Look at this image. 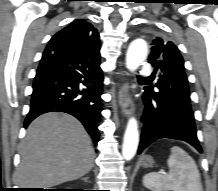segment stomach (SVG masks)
Here are the masks:
<instances>
[{
	"instance_id": "0dacf381",
	"label": "stomach",
	"mask_w": 218,
	"mask_h": 191,
	"mask_svg": "<svg viewBox=\"0 0 218 191\" xmlns=\"http://www.w3.org/2000/svg\"><path fill=\"white\" fill-rule=\"evenodd\" d=\"M154 164V159L152 156H145L142 158L141 160V165L144 167V168H149V167H152Z\"/></svg>"
}]
</instances>
